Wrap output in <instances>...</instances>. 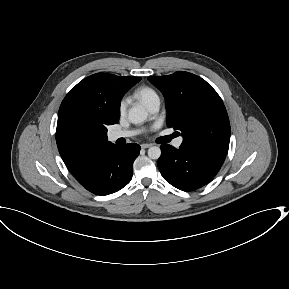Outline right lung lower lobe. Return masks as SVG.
<instances>
[{"mask_svg":"<svg viewBox=\"0 0 289 289\" xmlns=\"http://www.w3.org/2000/svg\"><path fill=\"white\" fill-rule=\"evenodd\" d=\"M139 152L140 146L136 143L114 145L90 159L74 177L94 194L117 192L130 182L133 162Z\"/></svg>","mask_w":289,"mask_h":289,"instance_id":"obj_1","label":"right lung lower lobe"}]
</instances>
